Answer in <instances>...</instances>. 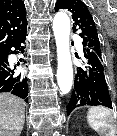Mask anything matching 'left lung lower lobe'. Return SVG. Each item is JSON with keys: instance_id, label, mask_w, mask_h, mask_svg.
<instances>
[{"instance_id": "0a47b994", "label": "left lung lower lobe", "mask_w": 117, "mask_h": 136, "mask_svg": "<svg viewBox=\"0 0 117 136\" xmlns=\"http://www.w3.org/2000/svg\"><path fill=\"white\" fill-rule=\"evenodd\" d=\"M83 50L86 66L77 68L74 88L67 105V115L75 108L84 105L112 108L102 61L96 55L88 53L85 47Z\"/></svg>"}]
</instances>
